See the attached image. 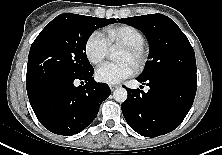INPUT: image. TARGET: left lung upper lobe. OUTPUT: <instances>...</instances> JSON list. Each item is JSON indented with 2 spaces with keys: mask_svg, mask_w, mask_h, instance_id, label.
<instances>
[{
  "mask_svg": "<svg viewBox=\"0 0 222 155\" xmlns=\"http://www.w3.org/2000/svg\"><path fill=\"white\" fill-rule=\"evenodd\" d=\"M142 31L150 44L149 60L140 77L177 74L196 79L194 50L176 23L163 14L118 19Z\"/></svg>",
  "mask_w": 222,
  "mask_h": 155,
  "instance_id": "obj_1",
  "label": "left lung upper lobe"
}]
</instances>
